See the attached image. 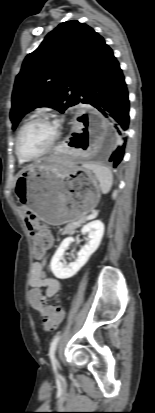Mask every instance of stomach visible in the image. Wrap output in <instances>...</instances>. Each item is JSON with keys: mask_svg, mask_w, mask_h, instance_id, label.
I'll list each match as a JSON object with an SVG mask.
<instances>
[{"mask_svg": "<svg viewBox=\"0 0 155 413\" xmlns=\"http://www.w3.org/2000/svg\"><path fill=\"white\" fill-rule=\"evenodd\" d=\"M15 194L21 205L51 225L84 219L101 197L95 174L84 167H65L52 160L30 164L17 177Z\"/></svg>", "mask_w": 155, "mask_h": 413, "instance_id": "obj_1", "label": "stomach"}]
</instances>
